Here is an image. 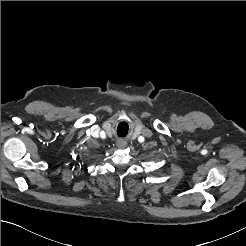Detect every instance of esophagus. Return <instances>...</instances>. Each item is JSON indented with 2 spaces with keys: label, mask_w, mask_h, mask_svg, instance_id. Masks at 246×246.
<instances>
[{
  "label": "esophagus",
  "mask_w": 246,
  "mask_h": 246,
  "mask_svg": "<svg viewBox=\"0 0 246 246\" xmlns=\"http://www.w3.org/2000/svg\"><path fill=\"white\" fill-rule=\"evenodd\" d=\"M117 146L119 148H124L126 146V143L124 141H119L118 144H117Z\"/></svg>",
  "instance_id": "obj_1"
}]
</instances>
